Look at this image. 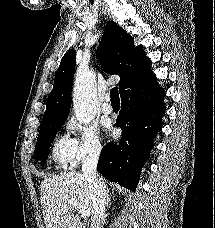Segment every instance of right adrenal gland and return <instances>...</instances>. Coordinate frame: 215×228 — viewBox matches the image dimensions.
Wrapping results in <instances>:
<instances>
[{
	"label": "right adrenal gland",
	"mask_w": 215,
	"mask_h": 228,
	"mask_svg": "<svg viewBox=\"0 0 215 228\" xmlns=\"http://www.w3.org/2000/svg\"><path fill=\"white\" fill-rule=\"evenodd\" d=\"M106 204H107L108 208H109V206H111V198H109V196L106 200Z\"/></svg>",
	"instance_id": "right-adrenal-gland-1"
}]
</instances>
